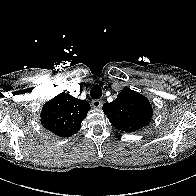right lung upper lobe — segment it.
Masks as SVG:
<instances>
[{
  "mask_svg": "<svg viewBox=\"0 0 196 196\" xmlns=\"http://www.w3.org/2000/svg\"><path fill=\"white\" fill-rule=\"evenodd\" d=\"M90 105L85 100L61 93L43 106L41 113L42 125L60 137L76 134L86 117Z\"/></svg>",
  "mask_w": 196,
  "mask_h": 196,
  "instance_id": "right-lung-upper-lobe-1",
  "label": "right lung upper lobe"
}]
</instances>
